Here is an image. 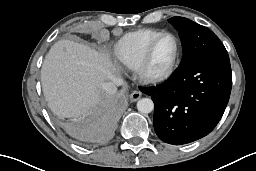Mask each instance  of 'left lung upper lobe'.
I'll return each mask as SVG.
<instances>
[{"label":"left lung upper lobe","mask_w":256,"mask_h":171,"mask_svg":"<svg viewBox=\"0 0 256 171\" xmlns=\"http://www.w3.org/2000/svg\"><path fill=\"white\" fill-rule=\"evenodd\" d=\"M169 22L179 31L182 41L181 64L199 55L227 52L218 37L208 28L184 17H172Z\"/></svg>","instance_id":"left-lung-upper-lobe-1"}]
</instances>
